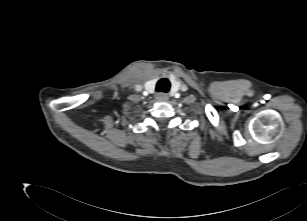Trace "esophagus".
<instances>
[{"instance_id":"1","label":"esophagus","mask_w":307,"mask_h":221,"mask_svg":"<svg viewBox=\"0 0 307 221\" xmlns=\"http://www.w3.org/2000/svg\"><path fill=\"white\" fill-rule=\"evenodd\" d=\"M156 98L158 100L166 101V100H168L169 96L166 93H158L156 95Z\"/></svg>"}]
</instances>
